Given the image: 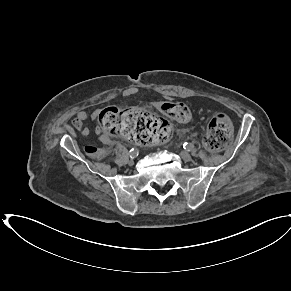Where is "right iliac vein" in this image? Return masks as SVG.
Segmentation results:
<instances>
[{
    "instance_id": "obj_1",
    "label": "right iliac vein",
    "mask_w": 291,
    "mask_h": 291,
    "mask_svg": "<svg viewBox=\"0 0 291 291\" xmlns=\"http://www.w3.org/2000/svg\"><path fill=\"white\" fill-rule=\"evenodd\" d=\"M129 165H133L134 164V160L131 159L129 162H128Z\"/></svg>"
}]
</instances>
